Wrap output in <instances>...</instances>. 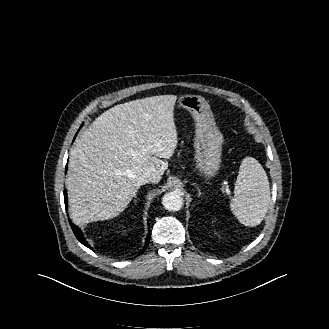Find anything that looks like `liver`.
<instances>
[{
  "mask_svg": "<svg viewBox=\"0 0 329 329\" xmlns=\"http://www.w3.org/2000/svg\"><path fill=\"white\" fill-rule=\"evenodd\" d=\"M176 95H159L115 105L76 139L65 181L71 218L89 223L116 217L151 171L158 183L177 147Z\"/></svg>",
  "mask_w": 329,
  "mask_h": 329,
  "instance_id": "1",
  "label": "liver"
}]
</instances>
